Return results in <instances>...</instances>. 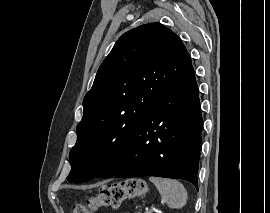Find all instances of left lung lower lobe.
I'll return each instance as SVG.
<instances>
[{"mask_svg":"<svg viewBox=\"0 0 270 213\" xmlns=\"http://www.w3.org/2000/svg\"><path fill=\"white\" fill-rule=\"evenodd\" d=\"M202 130L192 65L182 71L109 164L92 177L158 176L197 184ZM93 177V178H94Z\"/></svg>","mask_w":270,"mask_h":213,"instance_id":"obj_1","label":"left lung lower lobe"}]
</instances>
